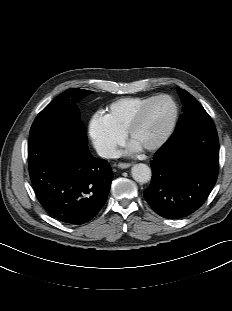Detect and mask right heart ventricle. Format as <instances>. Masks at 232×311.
Listing matches in <instances>:
<instances>
[{
    "mask_svg": "<svg viewBox=\"0 0 232 311\" xmlns=\"http://www.w3.org/2000/svg\"><path fill=\"white\" fill-rule=\"evenodd\" d=\"M154 96H129L116 99L107 105L104 117L118 133L124 134L138 109Z\"/></svg>",
    "mask_w": 232,
    "mask_h": 311,
    "instance_id": "1",
    "label": "right heart ventricle"
}]
</instances>
